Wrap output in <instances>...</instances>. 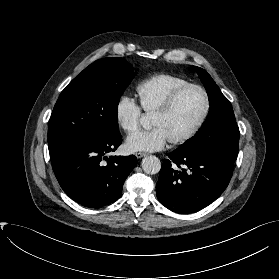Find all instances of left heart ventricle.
Returning a JSON list of instances; mask_svg holds the SVG:
<instances>
[{
    "mask_svg": "<svg viewBox=\"0 0 279 279\" xmlns=\"http://www.w3.org/2000/svg\"><path fill=\"white\" fill-rule=\"evenodd\" d=\"M204 106V97L196 89L183 92L169 113L152 115L151 124L160 127L173 140L187 133L198 120Z\"/></svg>",
    "mask_w": 279,
    "mask_h": 279,
    "instance_id": "b2bd125f",
    "label": "left heart ventricle"
}]
</instances>
